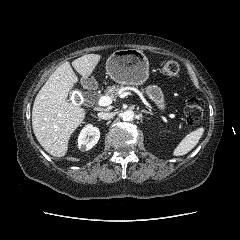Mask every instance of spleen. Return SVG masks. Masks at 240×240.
I'll return each instance as SVG.
<instances>
[{"label":"spleen","mask_w":240,"mask_h":240,"mask_svg":"<svg viewBox=\"0 0 240 240\" xmlns=\"http://www.w3.org/2000/svg\"><path fill=\"white\" fill-rule=\"evenodd\" d=\"M204 133V128L200 127L187 134L173 151L174 156H183L190 152L199 142Z\"/></svg>","instance_id":"obj_1"}]
</instances>
